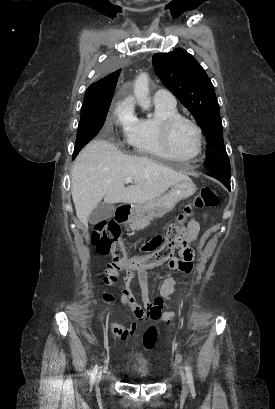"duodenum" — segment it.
Returning <instances> with one entry per match:
<instances>
[{
  "label": "duodenum",
  "mask_w": 275,
  "mask_h": 409,
  "mask_svg": "<svg viewBox=\"0 0 275 409\" xmlns=\"http://www.w3.org/2000/svg\"><path fill=\"white\" fill-rule=\"evenodd\" d=\"M131 212H132V208L130 205L123 204L119 206L115 214L116 221L119 223L126 222L129 219Z\"/></svg>",
  "instance_id": "duodenum-1"
}]
</instances>
